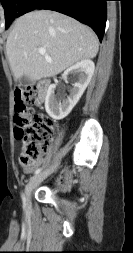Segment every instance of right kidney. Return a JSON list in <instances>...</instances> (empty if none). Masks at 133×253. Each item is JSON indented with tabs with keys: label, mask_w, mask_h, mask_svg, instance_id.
<instances>
[{
	"label": "right kidney",
	"mask_w": 133,
	"mask_h": 253,
	"mask_svg": "<svg viewBox=\"0 0 133 253\" xmlns=\"http://www.w3.org/2000/svg\"><path fill=\"white\" fill-rule=\"evenodd\" d=\"M94 69L93 61L83 60L65 71V76L71 74L75 77V83L72 85L73 87L70 89L67 98H59L55 95L56 84L49 87L45 99V109L51 118L60 120L72 111L87 88L93 76Z\"/></svg>",
	"instance_id": "ca27d5eb"
}]
</instances>
